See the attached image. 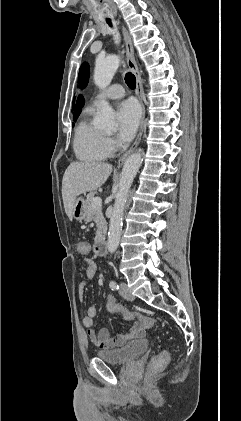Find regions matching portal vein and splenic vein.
Instances as JSON below:
<instances>
[{
  "label": "portal vein and splenic vein",
  "mask_w": 241,
  "mask_h": 421,
  "mask_svg": "<svg viewBox=\"0 0 241 421\" xmlns=\"http://www.w3.org/2000/svg\"><path fill=\"white\" fill-rule=\"evenodd\" d=\"M93 207H101L102 206V199L100 197H94L92 200Z\"/></svg>",
  "instance_id": "obj_1"
}]
</instances>
